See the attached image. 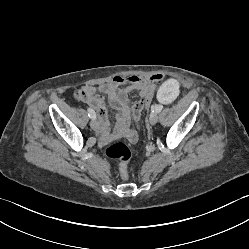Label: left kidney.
<instances>
[{"label": "left kidney", "instance_id": "5707ae66", "mask_svg": "<svg viewBox=\"0 0 249 249\" xmlns=\"http://www.w3.org/2000/svg\"><path fill=\"white\" fill-rule=\"evenodd\" d=\"M180 85L177 80L165 79L161 82L160 87L156 91V96L166 105H171L179 94Z\"/></svg>", "mask_w": 249, "mask_h": 249}]
</instances>
